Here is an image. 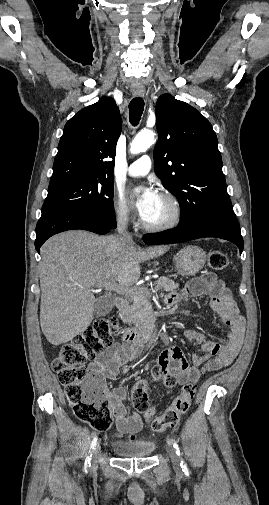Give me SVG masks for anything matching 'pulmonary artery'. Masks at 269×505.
Returning a JSON list of instances; mask_svg holds the SVG:
<instances>
[{
  "label": "pulmonary artery",
  "mask_w": 269,
  "mask_h": 505,
  "mask_svg": "<svg viewBox=\"0 0 269 505\" xmlns=\"http://www.w3.org/2000/svg\"><path fill=\"white\" fill-rule=\"evenodd\" d=\"M152 167V160L148 155H144L133 162L127 169V173L130 176H144L146 175Z\"/></svg>",
  "instance_id": "e3ab8cb5"
}]
</instances>
